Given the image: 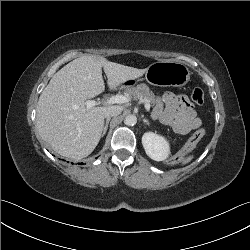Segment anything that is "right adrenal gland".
<instances>
[{"mask_svg":"<svg viewBox=\"0 0 250 250\" xmlns=\"http://www.w3.org/2000/svg\"><path fill=\"white\" fill-rule=\"evenodd\" d=\"M110 119L111 118H107L106 119V122H105V125H104V127H103V132H102V137L106 134V132H107V129H108V124H109V121H110Z\"/></svg>","mask_w":250,"mask_h":250,"instance_id":"right-adrenal-gland-1","label":"right adrenal gland"}]
</instances>
